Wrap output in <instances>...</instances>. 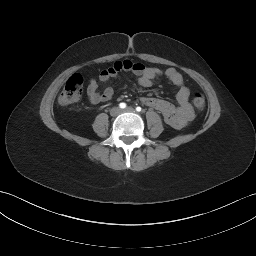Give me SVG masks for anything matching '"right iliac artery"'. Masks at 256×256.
<instances>
[{
  "mask_svg": "<svg viewBox=\"0 0 256 256\" xmlns=\"http://www.w3.org/2000/svg\"><path fill=\"white\" fill-rule=\"evenodd\" d=\"M119 107L124 109V108H126V104L122 102V103L119 104Z\"/></svg>",
  "mask_w": 256,
  "mask_h": 256,
  "instance_id": "right-iliac-artery-1",
  "label": "right iliac artery"
}]
</instances>
